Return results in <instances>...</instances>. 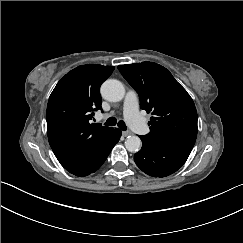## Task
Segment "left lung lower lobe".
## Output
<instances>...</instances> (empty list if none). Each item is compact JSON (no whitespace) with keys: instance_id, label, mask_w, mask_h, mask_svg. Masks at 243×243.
<instances>
[{"instance_id":"left-lung-lower-lobe-1","label":"left lung lower lobe","mask_w":243,"mask_h":243,"mask_svg":"<svg viewBox=\"0 0 243 243\" xmlns=\"http://www.w3.org/2000/svg\"><path fill=\"white\" fill-rule=\"evenodd\" d=\"M142 148L134 155L137 166L153 177H166L176 172L187 160L191 150L170 146L139 136Z\"/></svg>"}]
</instances>
